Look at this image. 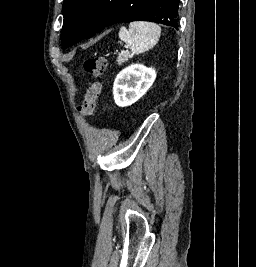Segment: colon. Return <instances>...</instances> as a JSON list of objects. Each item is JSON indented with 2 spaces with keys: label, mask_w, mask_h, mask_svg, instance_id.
<instances>
[{
  "label": "colon",
  "mask_w": 256,
  "mask_h": 267,
  "mask_svg": "<svg viewBox=\"0 0 256 267\" xmlns=\"http://www.w3.org/2000/svg\"><path fill=\"white\" fill-rule=\"evenodd\" d=\"M107 60L103 56L89 57L84 61V70L87 74L99 77L107 70ZM102 92V83L94 81L83 100L78 104L77 110L84 116H89L94 112L96 102Z\"/></svg>",
  "instance_id": "5ec220e1"
}]
</instances>
